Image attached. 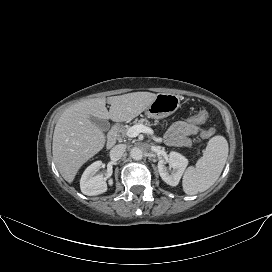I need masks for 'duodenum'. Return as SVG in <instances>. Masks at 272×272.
<instances>
[{"label":"duodenum","instance_id":"obj_1","mask_svg":"<svg viewBox=\"0 0 272 272\" xmlns=\"http://www.w3.org/2000/svg\"><path fill=\"white\" fill-rule=\"evenodd\" d=\"M119 129V124H115L110 130L107 137V148L110 149L117 143Z\"/></svg>","mask_w":272,"mask_h":272}]
</instances>
